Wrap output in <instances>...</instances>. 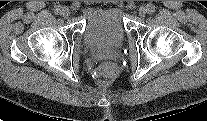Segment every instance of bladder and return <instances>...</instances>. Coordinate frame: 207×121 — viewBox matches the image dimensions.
Masks as SVG:
<instances>
[{
  "label": "bladder",
  "mask_w": 207,
  "mask_h": 121,
  "mask_svg": "<svg viewBox=\"0 0 207 121\" xmlns=\"http://www.w3.org/2000/svg\"><path fill=\"white\" fill-rule=\"evenodd\" d=\"M84 42L90 47L120 45L125 38L124 11L118 5L95 6L86 10Z\"/></svg>",
  "instance_id": "1"
}]
</instances>
